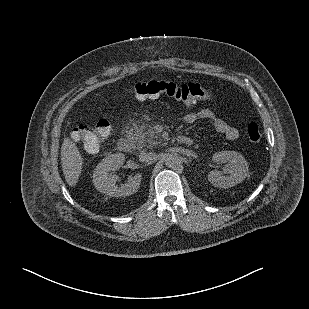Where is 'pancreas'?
<instances>
[{
    "label": "pancreas",
    "instance_id": "cf45deb5",
    "mask_svg": "<svg viewBox=\"0 0 309 309\" xmlns=\"http://www.w3.org/2000/svg\"><path fill=\"white\" fill-rule=\"evenodd\" d=\"M136 138L144 141L145 143L148 142L150 145H153L154 143H156V134L154 133L153 129L150 128L148 131L147 130H143V129H139L136 132Z\"/></svg>",
    "mask_w": 309,
    "mask_h": 309
}]
</instances>
